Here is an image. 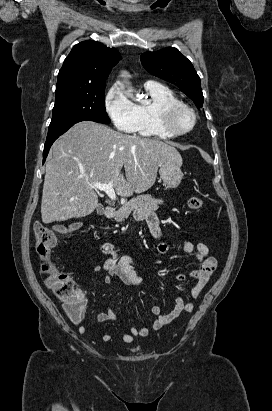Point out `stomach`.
<instances>
[{
	"label": "stomach",
	"instance_id": "stomach-1",
	"mask_svg": "<svg viewBox=\"0 0 272 411\" xmlns=\"http://www.w3.org/2000/svg\"><path fill=\"white\" fill-rule=\"evenodd\" d=\"M159 175L168 188H176L181 183L183 173L181 165L172 160H166L159 164Z\"/></svg>",
	"mask_w": 272,
	"mask_h": 411
}]
</instances>
